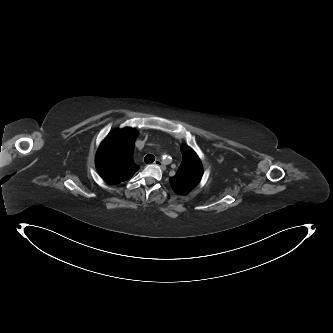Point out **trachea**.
<instances>
[{
  "instance_id": "obj_1",
  "label": "trachea",
  "mask_w": 333,
  "mask_h": 333,
  "mask_svg": "<svg viewBox=\"0 0 333 333\" xmlns=\"http://www.w3.org/2000/svg\"><path fill=\"white\" fill-rule=\"evenodd\" d=\"M154 160H155V157L151 154L146 155L144 158L145 163H153Z\"/></svg>"
}]
</instances>
